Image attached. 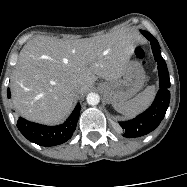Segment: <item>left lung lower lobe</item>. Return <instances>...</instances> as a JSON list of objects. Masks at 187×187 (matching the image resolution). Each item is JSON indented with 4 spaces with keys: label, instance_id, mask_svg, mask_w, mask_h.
Returning a JSON list of instances; mask_svg holds the SVG:
<instances>
[{
    "label": "left lung lower lobe",
    "instance_id": "left-lung-lower-lobe-1",
    "mask_svg": "<svg viewBox=\"0 0 187 187\" xmlns=\"http://www.w3.org/2000/svg\"><path fill=\"white\" fill-rule=\"evenodd\" d=\"M142 34L150 41L155 61L158 64L160 89L152 105L136 118L120 122L123 129V136L136 138L144 136L153 131L163 120L170 101V78L165 60L161 56L158 41L148 32L141 31Z\"/></svg>",
    "mask_w": 187,
    "mask_h": 187
}]
</instances>
